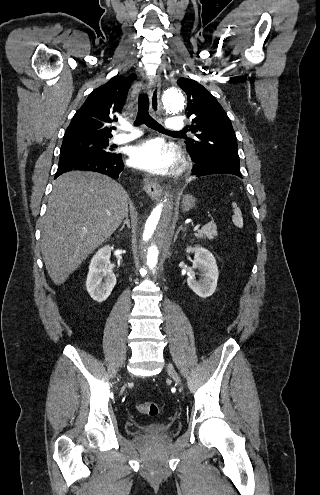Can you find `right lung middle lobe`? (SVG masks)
Returning a JSON list of instances; mask_svg holds the SVG:
<instances>
[{"label":"right lung middle lobe","instance_id":"obj_1","mask_svg":"<svg viewBox=\"0 0 320 495\" xmlns=\"http://www.w3.org/2000/svg\"><path fill=\"white\" fill-rule=\"evenodd\" d=\"M109 138H82L74 140H64L60 149L61 155H109Z\"/></svg>","mask_w":320,"mask_h":495}]
</instances>
